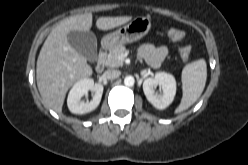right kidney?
<instances>
[{
	"label": "right kidney",
	"instance_id": "ca27d5eb",
	"mask_svg": "<svg viewBox=\"0 0 248 165\" xmlns=\"http://www.w3.org/2000/svg\"><path fill=\"white\" fill-rule=\"evenodd\" d=\"M89 90L94 92L93 99L90 102L82 101V96L87 94ZM102 94V84L94 83L91 78H84L76 82L71 88L67 98L68 108L74 114L89 113L98 107Z\"/></svg>",
	"mask_w": 248,
	"mask_h": 165
}]
</instances>
